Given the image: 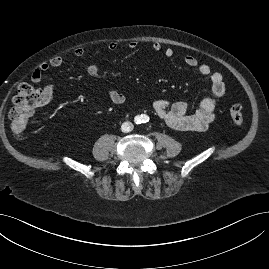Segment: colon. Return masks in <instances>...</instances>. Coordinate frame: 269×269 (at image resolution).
<instances>
[{
    "label": "colon",
    "mask_w": 269,
    "mask_h": 269,
    "mask_svg": "<svg viewBox=\"0 0 269 269\" xmlns=\"http://www.w3.org/2000/svg\"><path fill=\"white\" fill-rule=\"evenodd\" d=\"M41 105L42 91L40 89L29 83L19 86L9 112L10 128L15 136H20L24 132L31 117ZM230 116L236 126L243 125L244 119L240 104L231 106Z\"/></svg>",
    "instance_id": "5ec220e1"
}]
</instances>
